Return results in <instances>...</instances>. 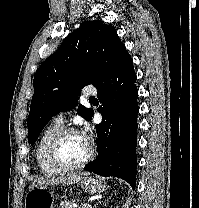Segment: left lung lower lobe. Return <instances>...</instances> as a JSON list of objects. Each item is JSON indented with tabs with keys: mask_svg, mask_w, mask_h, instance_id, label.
<instances>
[{
	"mask_svg": "<svg viewBox=\"0 0 199 208\" xmlns=\"http://www.w3.org/2000/svg\"><path fill=\"white\" fill-rule=\"evenodd\" d=\"M133 60L125 58L98 86L102 122L96 125L98 156L85 166L101 176H116L136 186V131L139 111ZM93 115V114H92Z\"/></svg>",
	"mask_w": 199,
	"mask_h": 208,
	"instance_id": "left-lung-lower-lobe-1",
	"label": "left lung lower lobe"
}]
</instances>
